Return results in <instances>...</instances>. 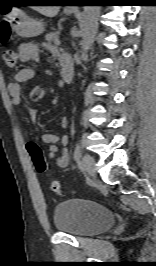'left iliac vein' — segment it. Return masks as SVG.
<instances>
[{
    "label": "left iliac vein",
    "instance_id": "obj_1",
    "mask_svg": "<svg viewBox=\"0 0 156 266\" xmlns=\"http://www.w3.org/2000/svg\"><path fill=\"white\" fill-rule=\"evenodd\" d=\"M81 165L87 174L93 179H96L95 161L92 156L85 154L82 157Z\"/></svg>",
    "mask_w": 156,
    "mask_h": 266
}]
</instances>
